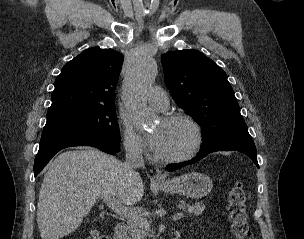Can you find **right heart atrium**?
Instances as JSON below:
<instances>
[{"instance_id":"d8ad5b80","label":"right heart atrium","mask_w":304,"mask_h":239,"mask_svg":"<svg viewBox=\"0 0 304 239\" xmlns=\"http://www.w3.org/2000/svg\"><path fill=\"white\" fill-rule=\"evenodd\" d=\"M122 128L123 141L127 152L134 156L142 155L145 151L143 142L127 117L122 118Z\"/></svg>"}]
</instances>
